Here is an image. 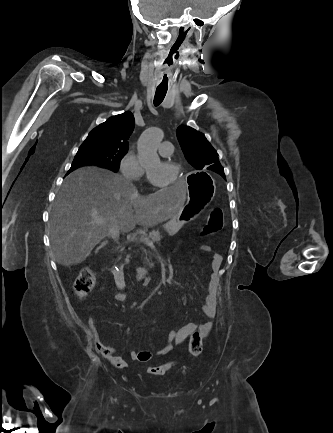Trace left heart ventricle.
Wrapping results in <instances>:
<instances>
[{"mask_svg": "<svg viewBox=\"0 0 333 433\" xmlns=\"http://www.w3.org/2000/svg\"><path fill=\"white\" fill-rule=\"evenodd\" d=\"M147 170L152 180L158 184H167L172 181L174 177V170L160 160L148 165Z\"/></svg>", "mask_w": 333, "mask_h": 433, "instance_id": "left-heart-ventricle-1", "label": "left heart ventricle"}]
</instances>
